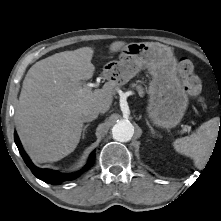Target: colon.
Segmentation results:
<instances>
[{
  "label": "colon",
  "instance_id": "5ec220e1",
  "mask_svg": "<svg viewBox=\"0 0 221 221\" xmlns=\"http://www.w3.org/2000/svg\"><path fill=\"white\" fill-rule=\"evenodd\" d=\"M178 72L186 92L194 97L199 96L202 91V83L195 73L192 61L188 58H182L178 65Z\"/></svg>",
  "mask_w": 221,
  "mask_h": 221
}]
</instances>
